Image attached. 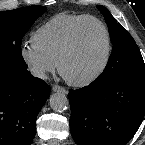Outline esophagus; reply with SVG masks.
<instances>
[{
    "label": "esophagus",
    "instance_id": "obj_1",
    "mask_svg": "<svg viewBox=\"0 0 145 145\" xmlns=\"http://www.w3.org/2000/svg\"><path fill=\"white\" fill-rule=\"evenodd\" d=\"M52 91L53 92H60V93H63V94H67L68 93V91L65 88H63V87H61L59 85H54L52 87Z\"/></svg>",
    "mask_w": 145,
    "mask_h": 145
}]
</instances>
